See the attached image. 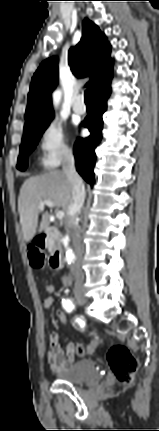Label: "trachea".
Wrapping results in <instances>:
<instances>
[{"label":"trachea","instance_id":"3493384b","mask_svg":"<svg viewBox=\"0 0 159 431\" xmlns=\"http://www.w3.org/2000/svg\"><path fill=\"white\" fill-rule=\"evenodd\" d=\"M85 103L88 105L93 104V90L87 89L84 94Z\"/></svg>","mask_w":159,"mask_h":431}]
</instances>
